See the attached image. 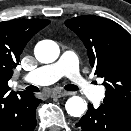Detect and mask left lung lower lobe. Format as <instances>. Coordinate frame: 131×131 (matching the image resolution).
<instances>
[{
  "label": "left lung lower lobe",
  "mask_w": 131,
  "mask_h": 131,
  "mask_svg": "<svg viewBox=\"0 0 131 131\" xmlns=\"http://www.w3.org/2000/svg\"><path fill=\"white\" fill-rule=\"evenodd\" d=\"M79 131H131V120L114 109L89 104L87 113L76 123Z\"/></svg>",
  "instance_id": "0a47b994"
}]
</instances>
